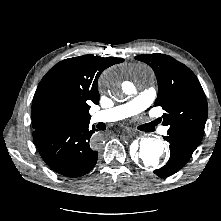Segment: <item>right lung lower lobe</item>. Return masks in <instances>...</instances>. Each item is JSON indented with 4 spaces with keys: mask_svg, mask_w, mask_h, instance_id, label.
Segmentation results:
<instances>
[{
    "mask_svg": "<svg viewBox=\"0 0 221 221\" xmlns=\"http://www.w3.org/2000/svg\"><path fill=\"white\" fill-rule=\"evenodd\" d=\"M89 122L58 124L35 130L33 139L42 159L55 172L80 177L93 169L98 152L94 149Z\"/></svg>",
    "mask_w": 221,
    "mask_h": 221,
    "instance_id": "obj_1",
    "label": "right lung lower lobe"
}]
</instances>
